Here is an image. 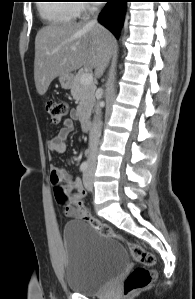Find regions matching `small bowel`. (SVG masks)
<instances>
[{
    "mask_svg": "<svg viewBox=\"0 0 195 299\" xmlns=\"http://www.w3.org/2000/svg\"><path fill=\"white\" fill-rule=\"evenodd\" d=\"M76 118V112L72 110L70 115L62 120V127L60 131L48 141V149L54 153H64L67 150L66 139L68 135L74 129V120ZM62 179L66 182L65 188L70 194L71 198L76 200H82L86 196V190L82 185L79 178H73L68 172L58 166L51 167V181L52 183L56 179ZM74 191V192H73ZM73 192V193H72ZM64 212L71 217L79 216L76 208L73 205L62 206Z\"/></svg>",
    "mask_w": 195,
    "mask_h": 299,
    "instance_id": "c3829d8e",
    "label": "small bowel"
}]
</instances>
